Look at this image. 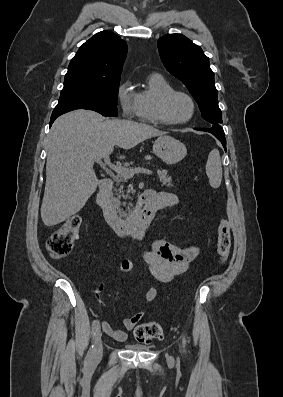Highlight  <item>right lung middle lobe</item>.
Returning a JSON list of instances; mask_svg holds the SVG:
<instances>
[{
	"label": "right lung middle lobe",
	"mask_w": 283,
	"mask_h": 397,
	"mask_svg": "<svg viewBox=\"0 0 283 397\" xmlns=\"http://www.w3.org/2000/svg\"><path fill=\"white\" fill-rule=\"evenodd\" d=\"M120 78L104 79L78 73L65 75L64 87L54 110L88 109L116 117Z\"/></svg>",
	"instance_id": "obj_1"
}]
</instances>
